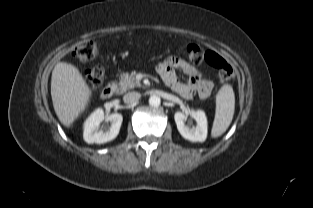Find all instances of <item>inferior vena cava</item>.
<instances>
[{"instance_id": "obj_1", "label": "inferior vena cava", "mask_w": 313, "mask_h": 208, "mask_svg": "<svg viewBox=\"0 0 313 208\" xmlns=\"http://www.w3.org/2000/svg\"><path fill=\"white\" fill-rule=\"evenodd\" d=\"M141 95L138 92H128L123 96V101L127 104H133L140 99Z\"/></svg>"}]
</instances>
